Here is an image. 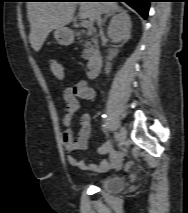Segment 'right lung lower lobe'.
<instances>
[{
	"instance_id": "1",
	"label": "right lung lower lobe",
	"mask_w": 188,
	"mask_h": 213,
	"mask_svg": "<svg viewBox=\"0 0 188 213\" xmlns=\"http://www.w3.org/2000/svg\"><path fill=\"white\" fill-rule=\"evenodd\" d=\"M112 1L126 2L132 8H134L144 19H146L148 15L149 2H151V0H112Z\"/></svg>"
}]
</instances>
